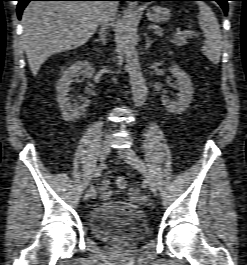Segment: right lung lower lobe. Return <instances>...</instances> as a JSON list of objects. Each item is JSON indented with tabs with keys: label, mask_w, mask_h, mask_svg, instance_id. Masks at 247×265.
Here are the masks:
<instances>
[{
	"label": "right lung lower lobe",
	"mask_w": 247,
	"mask_h": 265,
	"mask_svg": "<svg viewBox=\"0 0 247 265\" xmlns=\"http://www.w3.org/2000/svg\"><path fill=\"white\" fill-rule=\"evenodd\" d=\"M30 1H102V0H18L17 14L18 18H21L23 9ZM110 1H127V0H110Z\"/></svg>",
	"instance_id": "1"
}]
</instances>
